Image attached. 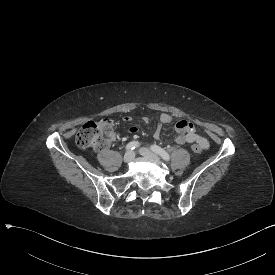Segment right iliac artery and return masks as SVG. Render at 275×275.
<instances>
[{
    "instance_id": "right-iliac-artery-1",
    "label": "right iliac artery",
    "mask_w": 275,
    "mask_h": 275,
    "mask_svg": "<svg viewBox=\"0 0 275 275\" xmlns=\"http://www.w3.org/2000/svg\"><path fill=\"white\" fill-rule=\"evenodd\" d=\"M138 141H132L126 145V150L131 151L139 147Z\"/></svg>"
}]
</instances>
